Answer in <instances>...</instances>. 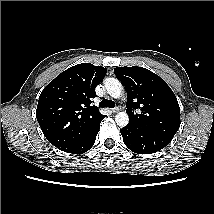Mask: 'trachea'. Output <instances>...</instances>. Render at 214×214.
Returning <instances> with one entry per match:
<instances>
[{"instance_id":"1","label":"trachea","mask_w":214,"mask_h":214,"mask_svg":"<svg viewBox=\"0 0 214 214\" xmlns=\"http://www.w3.org/2000/svg\"><path fill=\"white\" fill-rule=\"evenodd\" d=\"M100 107H108V108H114L115 107V102L111 100L104 99L100 102Z\"/></svg>"}]
</instances>
